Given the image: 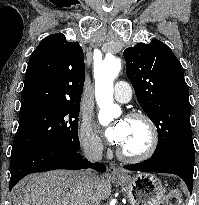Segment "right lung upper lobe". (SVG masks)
<instances>
[{
    "mask_svg": "<svg viewBox=\"0 0 199 205\" xmlns=\"http://www.w3.org/2000/svg\"><path fill=\"white\" fill-rule=\"evenodd\" d=\"M85 80L83 50L61 33L44 38L30 56L20 111L41 106L80 104Z\"/></svg>",
    "mask_w": 199,
    "mask_h": 205,
    "instance_id": "cb5924a9",
    "label": "right lung upper lobe"
}]
</instances>
